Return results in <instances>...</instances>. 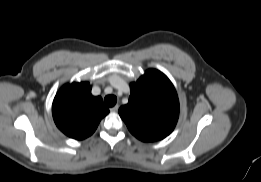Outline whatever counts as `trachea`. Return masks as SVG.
I'll list each match as a JSON object with an SVG mask.
<instances>
[{
  "label": "trachea",
  "instance_id": "trachea-1",
  "mask_svg": "<svg viewBox=\"0 0 261 182\" xmlns=\"http://www.w3.org/2000/svg\"><path fill=\"white\" fill-rule=\"evenodd\" d=\"M104 102L108 107H113L117 102V98L114 95H108L104 98Z\"/></svg>",
  "mask_w": 261,
  "mask_h": 182
}]
</instances>
